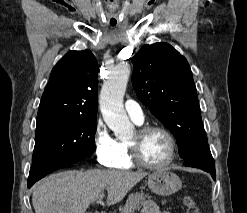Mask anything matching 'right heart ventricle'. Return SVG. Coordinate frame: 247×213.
<instances>
[{
	"label": "right heart ventricle",
	"instance_id": "obj_1",
	"mask_svg": "<svg viewBox=\"0 0 247 213\" xmlns=\"http://www.w3.org/2000/svg\"><path fill=\"white\" fill-rule=\"evenodd\" d=\"M118 145L120 149V155L114 167L124 170L133 168L134 163L130 159L127 143L124 141H118Z\"/></svg>",
	"mask_w": 247,
	"mask_h": 213
}]
</instances>
